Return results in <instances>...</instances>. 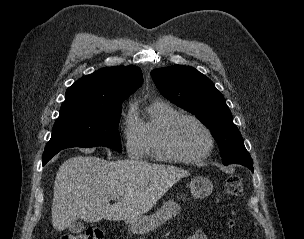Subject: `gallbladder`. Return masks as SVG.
Returning <instances> with one entry per match:
<instances>
[{"label":"gallbladder","mask_w":304,"mask_h":239,"mask_svg":"<svg viewBox=\"0 0 304 239\" xmlns=\"http://www.w3.org/2000/svg\"><path fill=\"white\" fill-rule=\"evenodd\" d=\"M84 229H85L84 223L81 221H74L69 226V230L73 233H80Z\"/></svg>","instance_id":"obj_1"}]
</instances>
